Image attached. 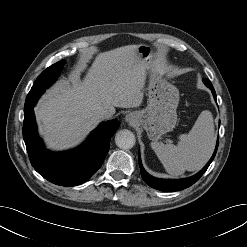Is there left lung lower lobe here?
I'll return each instance as SVG.
<instances>
[{"mask_svg": "<svg viewBox=\"0 0 247 247\" xmlns=\"http://www.w3.org/2000/svg\"><path fill=\"white\" fill-rule=\"evenodd\" d=\"M203 82L208 88H210L214 96V99L216 100V93H215V90L211 82L208 79H203ZM217 148H218V140H217V144H216V148L213 153V156L211 157L209 162L205 165V167L201 171H199L197 174H195L194 176L185 178V179H179V180H166V179L162 180V179L152 177L144 170L142 163H141L140 155H139L138 161H139L142 178L149 186L157 190L166 191V192L183 190L193 185L204 174V172L209 167L210 163L213 161Z\"/></svg>", "mask_w": 247, "mask_h": 247, "instance_id": "obj_1", "label": "left lung lower lobe"}]
</instances>
